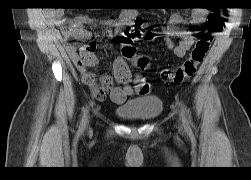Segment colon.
Listing matches in <instances>:
<instances>
[{
    "instance_id": "5ec220e1",
    "label": "colon",
    "mask_w": 251,
    "mask_h": 180,
    "mask_svg": "<svg viewBox=\"0 0 251 180\" xmlns=\"http://www.w3.org/2000/svg\"><path fill=\"white\" fill-rule=\"evenodd\" d=\"M222 24V15L212 12L208 18L206 29L200 30L196 34V42L189 56L176 69L164 71L162 80L174 85H181L192 78L209 51L212 41L211 34L219 30ZM156 37L157 35L153 31L139 24L126 29L118 37L122 57L133 61L137 67L145 69L148 66V59L145 56L137 55L134 43L138 40L151 41Z\"/></svg>"
}]
</instances>
